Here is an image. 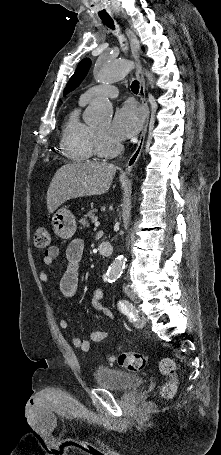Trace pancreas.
<instances>
[{"label": "pancreas", "instance_id": "obj_1", "mask_svg": "<svg viewBox=\"0 0 221 455\" xmlns=\"http://www.w3.org/2000/svg\"><path fill=\"white\" fill-rule=\"evenodd\" d=\"M97 212V209L91 208L81 219H80V224L81 226H89V220L88 218L92 221L95 222L97 220V217L95 216V213Z\"/></svg>", "mask_w": 221, "mask_h": 455}]
</instances>
